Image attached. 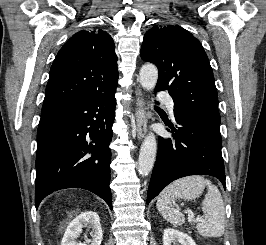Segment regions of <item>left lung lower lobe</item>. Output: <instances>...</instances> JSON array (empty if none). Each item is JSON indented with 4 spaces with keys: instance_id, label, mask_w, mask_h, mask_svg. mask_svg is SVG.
Wrapping results in <instances>:
<instances>
[{
    "instance_id": "left-lung-lower-lobe-1",
    "label": "left lung lower lobe",
    "mask_w": 266,
    "mask_h": 245,
    "mask_svg": "<svg viewBox=\"0 0 266 245\" xmlns=\"http://www.w3.org/2000/svg\"><path fill=\"white\" fill-rule=\"evenodd\" d=\"M157 91L160 90L155 89ZM174 116L178 129L171 122H165L172 133L175 131L174 138L159 137L158 140L147 204L169 183L189 175L216 177L226 189L220 123L179 108L174 109Z\"/></svg>"
}]
</instances>
